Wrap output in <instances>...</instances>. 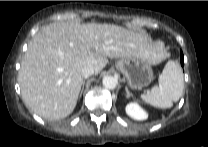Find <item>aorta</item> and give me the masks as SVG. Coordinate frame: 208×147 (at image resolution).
Returning a JSON list of instances; mask_svg holds the SVG:
<instances>
[{"label":"aorta","mask_w":208,"mask_h":147,"mask_svg":"<svg viewBox=\"0 0 208 147\" xmlns=\"http://www.w3.org/2000/svg\"><path fill=\"white\" fill-rule=\"evenodd\" d=\"M118 80L113 76L103 77L102 84L107 89H115L117 86Z\"/></svg>","instance_id":"1"}]
</instances>
